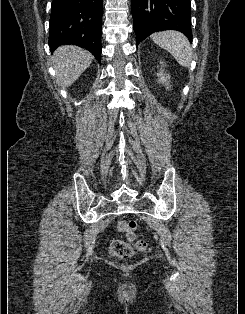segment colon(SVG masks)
I'll return each instance as SVG.
<instances>
[{"label": "colon", "mask_w": 245, "mask_h": 314, "mask_svg": "<svg viewBox=\"0 0 245 314\" xmlns=\"http://www.w3.org/2000/svg\"><path fill=\"white\" fill-rule=\"evenodd\" d=\"M119 231L127 234L129 242L123 240H113L110 244V254L118 259H128L134 255V248L140 251H147L148 244L144 241H135L134 232L137 229V223L133 220H120L117 223ZM133 242V245L130 243Z\"/></svg>", "instance_id": "colon-1"}]
</instances>
